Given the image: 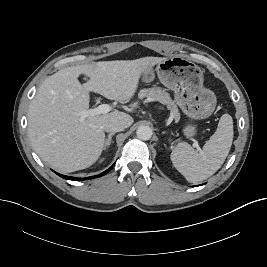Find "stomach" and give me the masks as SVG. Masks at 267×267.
<instances>
[{
  "label": "stomach",
  "mask_w": 267,
  "mask_h": 267,
  "mask_svg": "<svg viewBox=\"0 0 267 267\" xmlns=\"http://www.w3.org/2000/svg\"><path fill=\"white\" fill-rule=\"evenodd\" d=\"M155 72L160 82L173 90L175 101L190 119H205L213 113L216 96L203 86V71L198 65L180 56L165 58L155 69L148 68L142 73V82L153 81ZM182 131L187 138H191L196 135L197 128L188 123Z\"/></svg>",
  "instance_id": "1"
}]
</instances>
